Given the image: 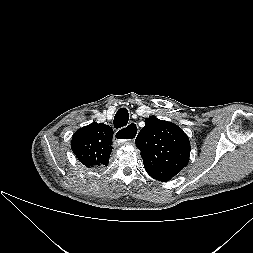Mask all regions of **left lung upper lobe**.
I'll return each instance as SVG.
<instances>
[{"label":"left lung upper lobe","mask_w":253,"mask_h":253,"mask_svg":"<svg viewBox=\"0 0 253 253\" xmlns=\"http://www.w3.org/2000/svg\"><path fill=\"white\" fill-rule=\"evenodd\" d=\"M135 144L141 150L145 170L158 181H169L189 162L187 135L176 124L155 116L145 119Z\"/></svg>","instance_id":"left-lung-upper-lobe-1"}]
</instances>
